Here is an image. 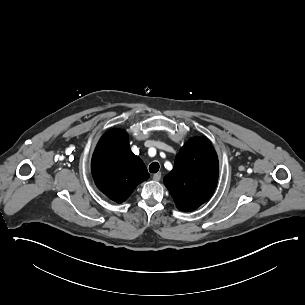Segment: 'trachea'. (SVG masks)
Segmentation results:
<instances>
[{"instance_id": "trachea-1", "label": "trachea", "mask_w": 305, "mask_h": 305, "mask_svg": "<svg viewBox=\"0 0 305 305\" xmlns=\"http://www.w3.org/2000/svg\"><path fill=\"white\" fill-rule=\"evenodd\" d=\"M160 165L158 162H153L149 166V171L151 173H157L159 171Z\"/></svg>"}]
</instances>
